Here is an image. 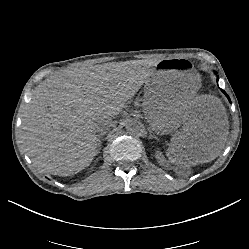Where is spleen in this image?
Wrapping results in <instances>:
<instances>
[{
  "label": "spleen",
  "mask_w": 249,
  "mask_h": 249,
  "mask_svg": "<svg viewBox=\"0 0 249 249\" xmlns=\"http://www.w3.org/2000/svg\"><path fill=\"white\" fill-rule=\"evenodd\" d=\"M173 150L171 148H169L167 151H166V155L169 159H171V157L168 155V153H171L172 154ZM175 159V158H173Z\"/></svg>",
  "instance_id": "1"
}]
</instances>
